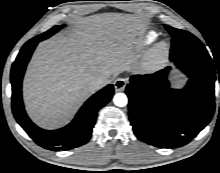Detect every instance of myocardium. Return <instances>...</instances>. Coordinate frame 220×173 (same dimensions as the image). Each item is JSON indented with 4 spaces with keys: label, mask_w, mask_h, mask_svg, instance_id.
Here are the masks:
<instances>
[{
    "label": "myocardium",
    "mask_w": 220,
    "mask_h": 173,
    "mask_svg": "<svg viewBox=\"0 0 220 173\" xmlns=\"http://www.w3.org/2000/svg\"><path fill=\"white\" fill-rule=\"evenodd\" d=\"M170 46L165 40H161L151 46L144 54L142 67L145 70H155L163 65L169 56Z\"/></svg>",
    "instance_id": "f54148a6"
}]
</instances>
